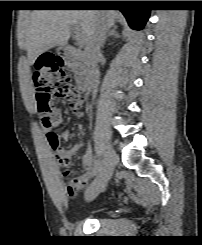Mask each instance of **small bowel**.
<instances>
[{"label":"small bowel","mask_w":202,"mask_h":245,"mask_svg":"<svg viewBox=\"0 0 202 245\" xmlns=\"http://www.w3.org/2000/svg\"><path fill=\"white\" fill-rule=\"evenodd\" d=\"M81 104L84 103L85 97L80 96ZM53 121L50 126H45V133L47 140H49V136L51 133H55L54 129L59 127L63 118L58 109H54L52 112ZM59 140L68 141L70 139V133L68 131L62 132L61 134H57ZM78 146H74L70 149H62L60 152L55 153V164L57 167L61 169L60 175L65 180L66 186L65 190L67 194L71 197L75 196L81 189H83L91 178H93L97 172V169L93 165V151L89 143H87V149L85 154L82 156V164L84 171L81 175L74 179H70V171L69 166L71 163L72 157L75 155ZM72 188V190H71Z\"/></svg>","instance_id":"c3829d8e"}]
</instances>
